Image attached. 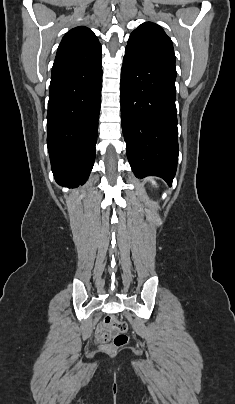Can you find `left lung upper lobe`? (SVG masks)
I'll return each instance as SVG.
<instances>
[{
	"label": "left lung upper lobe",
	"instance_id": "left-lung-upper-lobe-1",
	"mask_svg": "<svg viewBox=\"0 0 235 404\" xmlns=\"http://www.w3.org/2000/svg\"><path fill=\"white\" fill-rule=\"evenodd\" d=\"M126 49L140 52L175 67L172 41L163 29L155 23L146 22L135 29L129 37Z\"/></svg>",
	"mask_w": 235,
	"mask_h": 404
}]
</instances>
